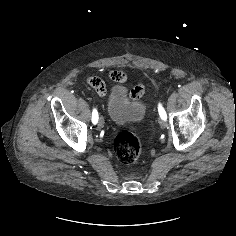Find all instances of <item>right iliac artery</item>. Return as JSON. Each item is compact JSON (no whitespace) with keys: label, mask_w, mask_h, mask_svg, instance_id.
I'll return each mask as SVG.
<instances>
[{"label":"right iliac artery","mask_w":236,"mask_h":236,"mask_svg":"<svg viewBox=\"0 0 236 236\" xmlns=\"http://www.w3.org/2000/svg\"><path fill=\"white\" fill-rule=\"evenodd\" d=\"M92 122L93 124H96L98 122V112L96 109H93L92 112Z\"/></svg>","instance_id":"obj_1"}]
</instances>
